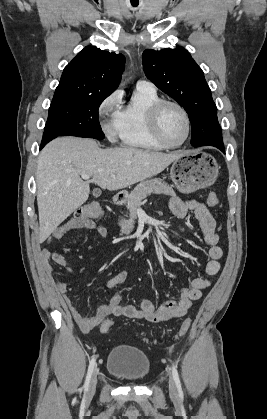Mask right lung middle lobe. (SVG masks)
Returning a JSON list of instances; mask_svg holds the SVG:
<instances>
[{
  "instance_id": "right-lung-middle-lobe-1",
  "label": "right lung middle lobe",
  "mask_w": 267,
  "mask_h": 419,
  "mask_svg": "<svg viewBox=\"0 0 267 419\" xmlns=\"http://www.w3.org/2000/svg\"><path fill=\"white\" fill-rule=\"evenodd\" d=\"M106 97L108 95H54L43 136L104 139L98 109Z\"/></svg>"
}]
</instances>
